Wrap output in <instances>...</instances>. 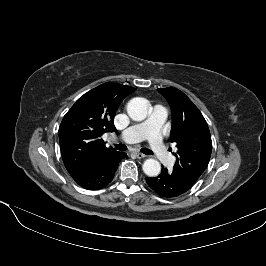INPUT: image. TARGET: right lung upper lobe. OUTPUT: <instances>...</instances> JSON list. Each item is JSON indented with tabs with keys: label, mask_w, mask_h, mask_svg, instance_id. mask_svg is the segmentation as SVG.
Listing matches in <instances>:
<instances>
[{
	"label": "right lung upper lobe",
	"mask_w": 266,
	"mask_h": 266,
	"mask_svg": "<svg viewBox=\"0 0 266 266\" xmlns=\"http://www.w3.org/2000/svg\"><path fill=\"white\" fill-rule=\"evenodd\" d=\"M135 88L107 82L81 96L64 116L59 141L65 167L72 177L115 153L101 138L116 130L113 119L122 100Z\"/></svg>",
	"instance_id": "obj_1"
}]
</instances>
